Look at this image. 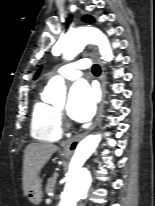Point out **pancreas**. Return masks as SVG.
I'll return each instance as SVG.
<instances>
[{
    "label": "pancreas",
    "mask_w": 155,
    "mask_h": 206,
    "mask_svg": "<svg viewBox=\"0 0 155 206\" xmlns=\"http://www.w3.org/2000/svg\"><path fill=\"white\" fill-rule=\"evenodd\" d=\"M56 176H53L51 178L48 179L47 185H46V191L47 192H51L54 190L55 188V184H56Z\"/></svg>",
    "instance_id": "1"
}]
</instances>
